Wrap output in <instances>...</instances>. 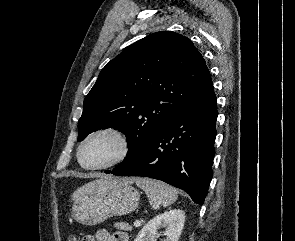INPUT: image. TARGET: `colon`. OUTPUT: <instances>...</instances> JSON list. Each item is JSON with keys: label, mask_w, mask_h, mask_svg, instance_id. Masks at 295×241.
Instances as JSON below:
<instances>
[{"label": "colon", "mask_w": 295, "mask_h": 241, "mask_svg": "<svg viewBox=\"0 0 295 241\" xmlns=\"http://www.w3.org/2000/svg\"><path fill=\"white\" fill-rule=\"evenodd\" d=\"M68 241H76L74 238H70Z\"/></svg>", "instance_id": "colon-1"}]
</instances>
